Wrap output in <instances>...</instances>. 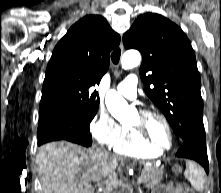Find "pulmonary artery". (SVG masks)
<instances>
[{
	"label": "pulmonary artery",
	"instance_id": "e3ab8cb5",
	"mask_svg": "<svg viewBox=\"0 0 221 193\" xmlns=\"http://www.w3.org/2000/svg\"><path fill=\"white\" fill-rule=\"evenodd\" d=\"M137 76L131 73L125 77L117 86V90L123 96L129 99H135L137 97Z\"/></svg>",
	"mask_w": 221,
	"mask_h": 193
}]
</instances>
